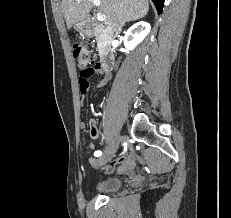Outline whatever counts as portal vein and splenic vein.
<instances>
[{
	"label": "portal vein and splenic vein",
	"mask_w": 231,
	"mask_h": 218,
	"mask_svg": "<svg viewBox=\"0 0 231 218\" xmlns=\"http://www.w3.org/2000/svg\"><path fill=\"white\" fill-rule=\"evenodd\" d=\"M79 1V0H78ZM93 4L95 6H99L100 5V0H92ZM106 18V16L102 13H97V20L98 21H104Z\"/></svg>",
	"instance_id": "obj_1"
}]
</instances>
